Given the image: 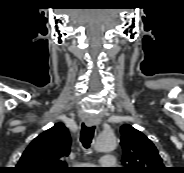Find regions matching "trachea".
<instances>
[{
    "mask_svg": "<svg viewBox=\"0 0 184 173\" xmlns=\"http://www.w3.org/2000/svg\"><path fill=\"white\" fill-rule=\"evenodd\" d=\"M94 130H95L94 126L87 127L84 124H82L80 141L83 144L84 148L86 149L90 147V144L94 136Z\"/></svg>",
    "mask_w": 184,
    "mask_h": 173,
    "instance_id": "1",
    "label": "trachea"
}]
</instances>
